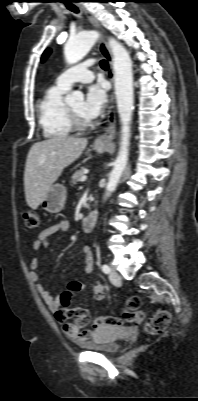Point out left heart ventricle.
<instances>
[{"instance_id": "left-heart-ventricle-1", "label": "left heart ventricle", "mask_w": 198, "mask_h": 401, "mask_svg": "<svg viewBox=\"0 0 198 401\" xmlns=\"http://www.w3.org/2000/svg\"><path fill=\"white\" fill-rule=\"evenodd\" d=\"M82 119L86 120V121H90L91 119H89L88 117L85 116L84 114V102L83 101H78L75 104L70 106Z\"/></svg>"}]
</instances>
